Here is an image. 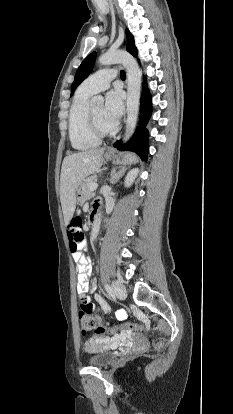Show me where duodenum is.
<instances>
[{
    "label": "duodenum",
    "instance_id": "410a0bca",
    "mask_svg": "<svg viewBox=\"0 0 233 414\" xmlns=\"http://www.w3.org/2000/svg\"><path fill=\"white\" fill-rule=\"evenodd\" d=\"M97 216H98L97 211L96 210L93 211V213L91 214V218H90V220H91L92 223H94L96 221Z\"/></svg>",
    "mask_w": 233,
    "mask_h": 414
}]
</instances>
